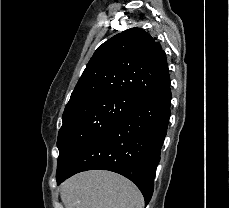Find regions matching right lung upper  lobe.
Masks as SVG:
<instances>
[{"label":"right lung upper lobe","instance_id":"obj_1","mask_svg":"<svg viewBox=\"0 0 229 208\" xmlns=\"http://www.w3.org/2000/svg\"><path fill=\"white\" fill-rule=\"evenodd\" d=\"M155 40L143 29L131 28L103 43L87 64L64 113L104 95H124L141 103L168 87L166 54Z\"/></svg>","mask_w":229,"mask_h":208}]
</instances>
